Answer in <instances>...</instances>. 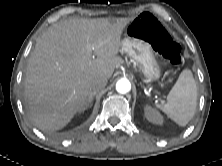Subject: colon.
Listing matches in <instances>:
<instances>
[{
    "mask_svg": "<svg viewBox=\"0 0 222 166\" xmlns=\"http://www.w3.org/2000/svg\"><path fill=\"white\" fill-rule=\"evenodd\" d=\"M131 37L149 43L152 48L166 58L171 64H181V48L172 38L165 26L152 14H140L129 26Z\"/></svg>",
    "mask_w": 222,
    "mask_h": 166,
    "instance_id": "obj_1",
    "label": "colon"
}]
</instances>
